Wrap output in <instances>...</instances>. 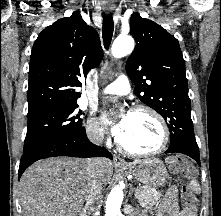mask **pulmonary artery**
Segmentation results:
<instances>
[{
	"mask_svg": "<svg viewBox=\"0 0 221 216\" xmlns=\"http://www.w3.org/2000/svg\"><path fill=\"white\" fill-rule=\"evenodd\" d=\"M130 92V82L126 75H120L115 81L107 85L103 94L126 95Z\"/></svg>",
	"mask_w": 221,
	"mask_h": 216,
	"instance_id": "pulmonary-artery-1",
	"label": "pulmonary artery"
}]
</instances>
